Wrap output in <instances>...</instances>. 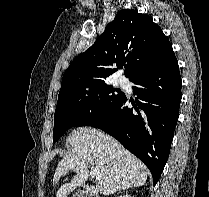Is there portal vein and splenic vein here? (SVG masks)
<instances>
[{"label":"portal vein and splenic vein","mask_w":209,"mask_h":197,"mask_svg":"<svg viewBox=\"0 0 209 197\" xmlns=\"http://www.w3.org/2000/svg\"><path fill=\"white\" fill-rule=\"evenodd\" d=\"M91 174L96 178V180H100L102 178L101 172L95 166L91 167Z\"/></svg>","instance_id":"1"}]
</instances>
